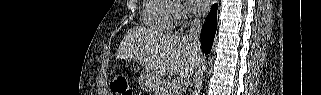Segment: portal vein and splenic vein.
Returning <instances> with one entry per match:
<instances>
[{"instance_id":"portal-vein-and-splenic-vein-1","label":"portal vein and splenic vein","mask_w":321,"mask_h":95,"mask_svg":"<svg viewBox=\"0 0 321 95\" xmlns=\"http://www.w3.org/2000/svg\"><path fill=\"white\" fill-rule=\"evenodd\" d=\"M172 86L175 89H179L180 88V83L178 81H176V80H173L172 81Z\"/></svg>"}]
</instances>
